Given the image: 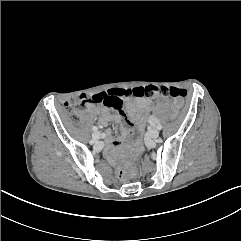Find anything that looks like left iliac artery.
Wrapping results in <instances>:
<instances>
[{
    "mask_svg": "<svg viewBox=\"0 0 241 241\" xmlns=\"http://www.w3.org/2000/svg\"><path fill=\"white\" fill-rule=\"evenodd\" d=\"M156 127H157L158 130H161V129H162V125H161V124H157Z\"/></svg>",
    "mask_w": 241,
    "mask_h": 241,
    "instance_id": "1",
    "label": "left iliac artery"
}]
</instances>
